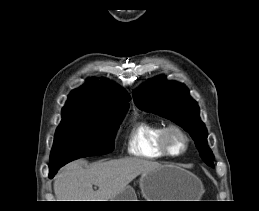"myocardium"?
Wrapping results in <instances>:
<instances>
[{
  "mask_svg": "<svg viewBox=\"0 0 259 211\" xmlns=\"http://www.w3.org/2000/svg\"><path fill=\"white\" fill-rule=\"evenodd\" d=\"M171 134H177L181 139V146L178 150H174L170 144ZM160 146L164 153L169 157H179L183 155L189 146V136L185 130L175 124L164 126L160 135Z\"/></svg>",
  "mask_w": 259,
  "mask_h": 211,
  "instance_id": "f54148a6",
  "label": "myocardium"
}]
</instances>
